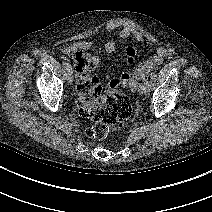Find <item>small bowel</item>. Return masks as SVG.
I'll return each mask as SVG.
<instances>
[{"mask_svg":"<svg viewBox=\"0 0 212 212\" xmlns=\"http://www.w3.org/2000/svg\"><path fill=\"white\" fill-rule=\"evenodd\" d=\"M115 29H119L118 39H111L104 45V51L108 54L113 53L118 47L121 40L133 39L134 41L144 44L147 42L144 34L139 31L135 26L127 22H121L117 20H112L108 22L105 26V30L110 32ZM93 42L90 40H80L65 46L61 49L62 53L69 54L80 50H86L92 47ZM171 54V49L166 47H160L157 49L156 53L148 58L143 59L135 68L137 59V50L133 47H128L126 49V73L134 74L140 79L157 66H159L164 58ZM122 74V75H123ZM137 87H132L135 90Z\"/></svg>","mask_w":212,"mask_h":212,"instance_id":"obj_1","label":"small bowel"}]
</instances>
